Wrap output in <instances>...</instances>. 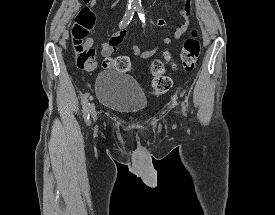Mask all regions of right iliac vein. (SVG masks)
I'll return each mask as SVG.
<instances>
[{"label": "right iliac vein", "mask_w": 275, "mask_h": 215, "mask_svg": "<svg viewBox=\"0 0 275 215\" xmlns=\"http://www.w3.org/2000/svg\"><path fill=\"white\" fill-rule=\"evenodd\" d=\"M90 111L92 113L93 118H95L96 117V113H95V107H94L93 104L90 105Z\"/></svg>", "instance_id": "obj_1"}]
</instances>
